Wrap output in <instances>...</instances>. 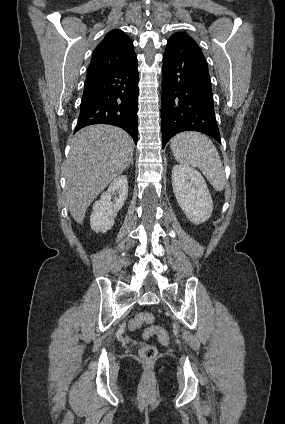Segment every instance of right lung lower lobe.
<instances>
[{
	"label": "right lung lower lobe",
	"instance_id": "1",
	"mask_svg": "<svg viewBox=\"0 0 285 424\" xmlns=\"http://www.w3.org/2000/svg\"><path fill=\"white\" fill-rule=\"evenodd\" d=\"M138 65H128L86 77L75 132L93 124H110L138 139Z\"/></svg>",
	"mask_w": 285,
	"mask_h": 424
}]
</instances>
